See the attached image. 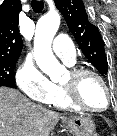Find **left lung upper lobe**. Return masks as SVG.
Returning <instances> with one entry per match:
<instances>
[{"label":"left lung upper lobe","instance_id":"left-lung-upper-lobe-1","mask_svg":"<svg viewBox=\"0 0 117 136\" xmlns=\"http://www.w3.org/2000/svg\"><path fill=\"white\" fill-rule=\"evenodd\" d=\"M57 9L86 58L101 74H107V58L104 42L98 28L91 24L82 0H55Z\"/></svg>","mask_w":117,"mask_h":136}]
</instances>
